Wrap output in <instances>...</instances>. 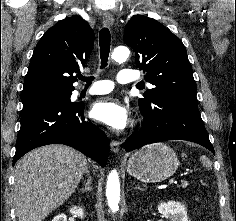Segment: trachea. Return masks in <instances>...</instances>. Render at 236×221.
Returning <instances> with one entry per match:
<instances>
[{
    "label": "trachea",
    "mask_w": 236,
    "mask_h": 221,
    "mask_svg": "<svg viewBox=\"0 0 236 221\" xmlns=\"http://www.w3.org/2000/svg\"><path fill=\"white\" fill-rule=\"evenodd\" d=\"M110 42H111V34L108 28H103L99 34V45H100V58H101V68H105L107 66L109 52H110ZM78 78L89 86L91 81L94 79L93 77H84L82 75L78 76Z\"/></svg>",
    "instance_id": "trachea-1"
}]
</instances>
